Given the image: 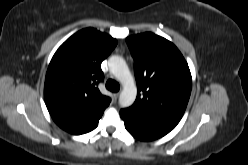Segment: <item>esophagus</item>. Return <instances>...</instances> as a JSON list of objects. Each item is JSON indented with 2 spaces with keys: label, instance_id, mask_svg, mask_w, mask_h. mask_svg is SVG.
<instances>
[{
  "label": "esophagus",
  "instance_id": "34e87169",
  "mask_svg": "<svg viewBox=\"0 0 248 165\" xmlns=\"http://www.w3.org/2000/svg\"><path fill=\"white\" fill-rule=\"evenodd\" d=\"M119 95H120V92H116V93H114V98H115V100H117V99H118Z\"/></svg>",
  "mask_w": 248,
  "mask_h": 165
}]
</instances>
